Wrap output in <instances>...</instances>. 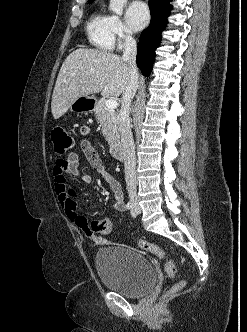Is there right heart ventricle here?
Wrapping results in <instances>:
<instances>
[{
    "instance_id": "obj_1",
    "label": "right heart ventricle",
    "mask_w": 247,
    "mask_h": 332,
    "mask_svg": "<svg viewBox=\"0 0 247 332\" xmlns=\"http://www.w3.org/2000/svg\"><path fill=\"white\" fill-rule=\"evenodd\" d=\"M86 32L89 42L99 50H112L115 35L112 29V16L101 8L96 9L90 16Z\"/></svg>"
}]
</instances>
